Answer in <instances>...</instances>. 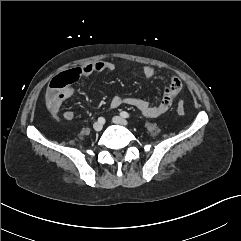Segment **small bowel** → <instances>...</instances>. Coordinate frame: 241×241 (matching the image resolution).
I'll return each instance as SVG.
<instances>
[{
	"mask_svg": "<svg viewBox=\"0 0 241 241\" xmlns=\"http://www.w3.org/2000/svg\"><path fill=\"white\" fill-rule=\"evenodd\" d=\"M85 70V75L89 76L95 73L112 72L115 70V64L110 61H98L89 63L82 66ZM155 70L151 66L143 68V74L146 77H152ZM182 82L178 77H172L169 85L164 90L161 100L157 104H150L148 101L136 97H122L115 95L110 100L112 108H118L121 105H129L137 108L144 116L149 118H156L164 114L172 105L174 99L179 95L182 90ZM74 93L73 88L66 87L58 92L53 98L47 99V108L52 118L56 119L59 114L61 104L70 98ZM63 118L67 121L74 119V113L71 110H65L62 114Z\"/></svg>",
	"mask_w": 241,
	"mask_h": 241,
	"instance_id": "1",
	"label": "small bowel"
}]
</instances>
